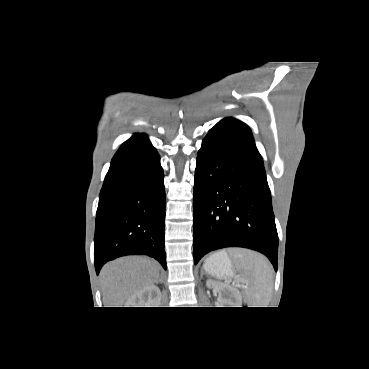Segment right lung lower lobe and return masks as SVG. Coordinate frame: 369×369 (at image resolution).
I'll list each match as a JSON object with an SVG mask.
<instances>
[{
	"label": "right lung lower lobe",
	"mask_w": 369,
	"mask_h": 369,
	"mask_svg": "<svg viewBox=\"0 0 369 369\" xmlns=\"http://www.w3.org/2000/svg\"><path fill=\"white\" fill-rule=\"evenodd\" d=\"M165 189L160 157L145 134L122 144L111 161L96 215L97 274L112 259L148 255L164 269Z\"/></svg>",
	"instance_id": "obj_1"
}]
</instances>
